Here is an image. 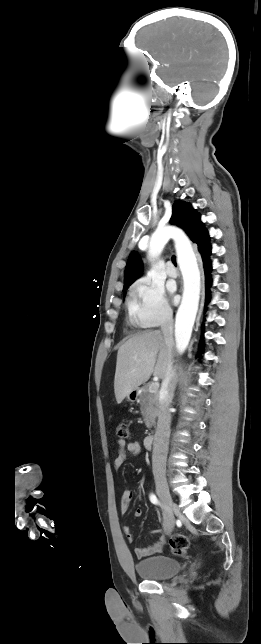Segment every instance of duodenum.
<instances>
[{"label": "duodenum", "mask_w": 261, "mask_h": 644, "mask_svg": "<svg viewBox=\"0 0 261 644\" xmlns=\"http://www.w3.org/2000/svg\"><path fill=\"white\" fill-rule=\"evenodd\" d=\"M154 443V436L148 435L144 438V446L146 449H151Z\"/></svg>", "instance_id": "duodenum-1"}]
</instances>
